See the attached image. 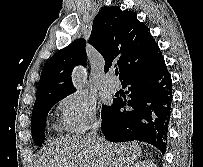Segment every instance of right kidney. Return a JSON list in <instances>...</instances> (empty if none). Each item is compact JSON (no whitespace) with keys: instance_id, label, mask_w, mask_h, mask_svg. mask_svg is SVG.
Listing matches in <instances>:
<instances>
[{"instance_id":"1","label":"right kidney","mask_w":203,"mask_h":167,"mask_svg":"<svg viewBox=\"0 0 203 167\" xmlns=\"http://www.w3.org/2000/svg\"><path fill=\"white\" fill-rule=\"evenodd\" d=\"M132 167H156V166L152 162H149V161H140V162H137Z\"/></svg>"}]
</instances>
